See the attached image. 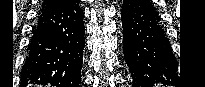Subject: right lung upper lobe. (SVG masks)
<instances>
[{"mask_svg":"<svg viewBox=\"0 0 205 87\" xmlns=\"http://www.w3.org/2000/svg\"><path fill=\"white\" fill-rule=\"evenodd\" d=\"M65 1L66 0H45L43 3L41 11L59 6L60 4H62Z\"/></svg>","mask_w":205,"mask_h":87,"instance_id":"1","label":"right lung upper lobe"}]
</instances>
